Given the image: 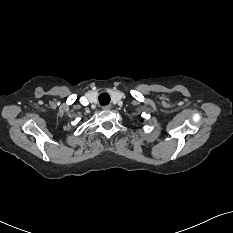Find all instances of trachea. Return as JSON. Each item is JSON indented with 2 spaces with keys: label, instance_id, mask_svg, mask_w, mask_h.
Returning <instances> with one entry per match:
<instances>
[{
  "label": "trachea",
  "instance_id": "1",
  "mask_svg": "<svg viewBox=\"0 0 233 233\" xmlns=\"http://www.w3.org/2000/svg\"><path fill=\"white\" fill-rule=\"evenodd\" d=\"M98 99L101 105H108L110 103V95L108 93H101Z\"/></svg>",
  "mask_w": 233,
  "mask_h": 233
}]
</instances>
